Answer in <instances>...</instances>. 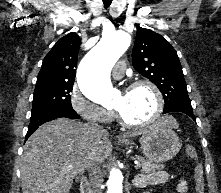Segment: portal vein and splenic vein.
Returning a JSON list of instances; mask_svg holds the SVG:
<instances>
[{
    "mask_svg": "<svg viewBox=\"0 0 221 193\" xmlns=\"http://www.w3.org/2000/svg\"><path fill=\"white\" fill-rule=\"evenodd\" d=\"M135 169H139L140 168V164L137 162V163H135ZM74 168V166H72V165H70V166H67V167H65V168H63L62 170L63 171H69V170H72Z\"/></svg>",
    "mask_w": 221,
    "mask_h": 193,
    "instance_id": "1",
    "label": "portal vein and splenic vein"
}]
</instances>
